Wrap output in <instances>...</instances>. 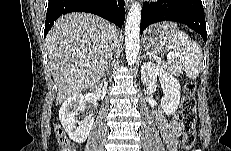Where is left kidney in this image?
Instances as JSON below:
<instances>
[{
    "instance_id": "5707ae66",
    "label": "left kidney",
    "mask_w": 231,
    "mask_h": 151,
    "mask_svg": "<svg viewBox=\"0 0 231 151\" xmlns=\"http://www.w3.org/2000/svg\"><path fill=\"white\" fill-rule=\"evenodd\" d=\"M159 78L164 96L161 100L163 113L170 115L175 113L180 104V83L166 72L162 67L151 61L141 66V80L146 85H154Z\"/></svg>"
}]
</instances>
